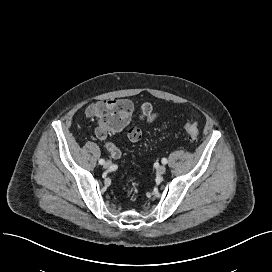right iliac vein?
Returning <instances> with one entry per match:
<instances>
[{"instance_id": "right-iliac-vein-1", "label": "right iliac vein", "mask_w": 272, "mask_h": 272, "mask_svg": "<svg viewBox=\"0 0 272 272\" xmlns=\"http://www.w3.org/2000/svg\"><path fill=\"white\" fill-rule=\"evenodd\" d=\"M111 165H112V163H111L110 161H106V162L104 163V168H105V169H109V168L111 167Z\"/></svg>"}]
</instances>
